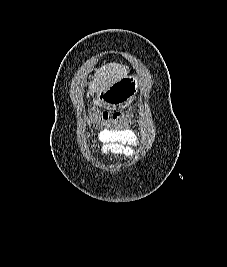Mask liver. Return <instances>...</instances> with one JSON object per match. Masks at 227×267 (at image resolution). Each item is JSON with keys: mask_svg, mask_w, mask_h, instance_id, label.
<instances>
[{"mask_svg": "<svg viewBox=\"0 0 227 267\" xmlns=\"http://www.w3.org/2000/svg\"><path fill=\"white\" fill-rule=\"evenodd\" d=\"M129 72L128 67L122 64L110 63L96 69L94 79L89 83V89L92 91H103L104 87H111L118 81V77H125Z\"/></svg>", "mask_w": 227, "mask_h": 267, "instance_id": "liver-1", "label": "liver"}]
</instances>
